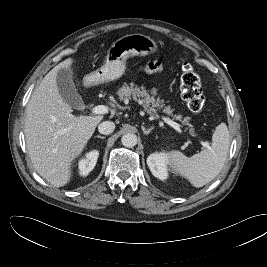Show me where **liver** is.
Segmentation results:
<instances>
[{
  "label": "liver",
  "instance_id": "obj_1",
  "mask_svg": "<svg viewBox=\"0 0 267 267\" xmlns=\"http://www.w3.org/2000/svg\"><path fill=\"white\" fill-rule=\"evenodd\" d=\"M68 58L50 70L34 90L26 108L25 138L35 170L54 187L71 179L72 166L93 135L102 115L75 116L61 97L57 73L71 68ZM85 82L88 84L85 78Z\"/></svg>",
  "mask_w": 267,
  "mask_h": 267
}]
</instances>
